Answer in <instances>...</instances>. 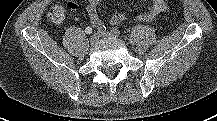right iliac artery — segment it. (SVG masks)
Masks as SVG:
<instances>
[{"label": "right iliac artery", "instance_id": "82829eb1", "mask_svg": "<svg viewBox=\"0 0 217 121\" xmlns=\"http://www.w3.org/2000/svg\"><path fill=\"white\" fill-rule=\"evenodd\" d=\"M106 31V27L103 25V26H101L100 28H98V34H102V33H104Z\"/></svg>", "mask_w": 217, "mask_h": 121}]
</instances>
